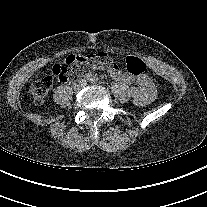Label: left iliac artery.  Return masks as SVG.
Wrapping results in <instances>:
<instances>
[{
  "label": "left iliac artery",
  "mask_w": 207,
  "mask_h": 207,
  "mask_svg": "<svg viewBox=\"0 0 207 207\" xmlns=\"http://www.w3.org/2000/svg\"><path fill=\"white\" fill-rule=\"evenodd\" d=\"M91 81H92V83L96 84V83H98L99 79H98V77L94 76Z\"/></svg>",
  "instance_id": "obj_1"
}]
</instances>
